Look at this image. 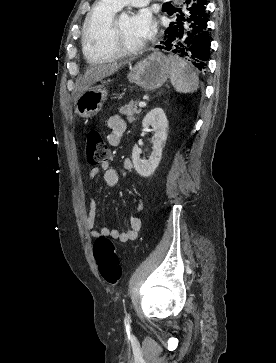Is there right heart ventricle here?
I'll return each instance as SVG.
<instances>
[{
	"mask_svg": "<svg viewBox=\"0 0 276 363\" xmlns=\"http://www.w3.org/2000/svg\"><path fill=\"white\" fill-rule=\"evenodd\" d=\"M120 6L111 0H100L87 16L82 46L86 59L95 64L111 62L117 55L109 47V28Z\"/></svg>",
	"mask_w": 276,
	"mask_h": 363,
	"instance_id": "e07e8e85",
	"label": "right heart ventricle"
}]
</instances>
